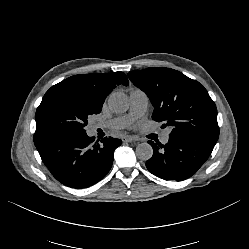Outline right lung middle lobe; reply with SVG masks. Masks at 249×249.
<instances>
[{"instance_id": "obj_1", "label": "right lung middle lobe", "mask_w": 249, "mask_h": 249, "mask_svg": "<svg viewBox=\"0 0 249 249\" xmlns=\"http://www.w3.org/2000/svg\"><path fill=\"white\" fill-rule=\"evenodd\" d=\"M84 96L74 92H60L43 98L37 108L34 137H54L85 133L88 117L100 113Z\"/></svg>"}]
</instances>
